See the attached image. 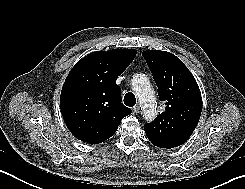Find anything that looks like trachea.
Wrapping results in <instances>:
<instances>
[{"instance_id": "1", "label": "trachea", "mask_w": 245, "mask_h": 189, "mask_svg": "<svg viewBox=\"0 0 245 189\" xmlns=\"http://www.w3.org/2000/svg\"><path fill=\"white\" fill-rule=\"evenodd\" d=\"M124 104L128 107H133L136 104L135 95L131 92L124 96Z\"/></svg>"}]
</instances>
